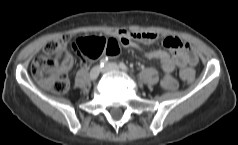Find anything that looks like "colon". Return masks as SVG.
I'll return each instance as SVG.
<instances>
[{
    "label": "colon",
    "instance_id": "1",
    "mask_svg": "<svg viewBox=\"0 0 238 145\" xmlns=\"http://www.w3.org/2000/svg\"><path fill=\"white\" fill-rule=\"evenodd\" d=\"M66 42V38L48 42L33 59L30 66L34 77L43 86L58 94L65 93L69 86L67 75L61 72L58 67ZM73 47L85 61L97 59L103 54L116 56L121 50V45L117 39L94 36L77 39ZM180 76L184 81L190 82L194 77V72L187 68L180 72Z\"/></svg>",
    "mask_w": 238,
    "mask_h": 145
}]
</instances>
